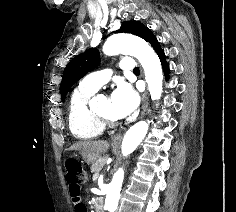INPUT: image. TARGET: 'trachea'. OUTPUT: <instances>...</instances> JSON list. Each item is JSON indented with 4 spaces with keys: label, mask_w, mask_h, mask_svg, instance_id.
I'll return each instance as SVG.
<instances>
[{
    "label": "trachea",
    "mask_w": 236,
    "mask_h": 212,
    "mask_svg": "<svg viewBox=\"0 0 236 212\" xmlns=\"http://www.w3.org/2000/svg\"><path fill=\"white\" fill-rule=\"evenodd\" d=\"M133 72H134V73H139V72H140V70H139V68H138V67H136V68L133 70Z\"/></svg>",
    "instance_id": "3493384b"
}]
</instances>
